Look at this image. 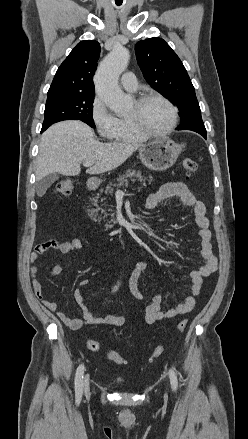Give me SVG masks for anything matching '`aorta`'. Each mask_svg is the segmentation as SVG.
I'll use <instances>...</instances> for the list:
<instances>
[{"label": "aorta", "mask_w": 248, "mask_h": 439, "mask_svg": "<svg viewBox=\"0 0 248 439\" xmlns=\"http://www.w3.org/2000/svg\"><path fill=\"white\" fill-rule=\"evenodd\" d=\"M129 58L128 49L121 45L115 46L100 63L94 77L98 97L116 114L126 112L131 106V98L124 94L118 84Z\"/></svg>", "instance_id": "762f6f07"}]
</instances>
